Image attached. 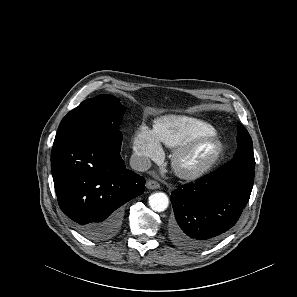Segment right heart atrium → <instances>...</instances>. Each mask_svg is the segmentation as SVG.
I'll return each instance as SVG.
<instances>
[{"label":"right heart atrium","mask_w":297,"mask_h":297,"mask_svg":"<svg viewBox=\"0 0 297 297\" xmlns=\"http://www.w3.org/2000/svg\"><path fill=\"white\" fill-rule=\"evenodd\" d=\"M135 155L142 166H148L152 160H158L162 156V148L155 133L142 126L133 142Z\"/></svg>","instance_id":"right-heart-atrium-1"}]
</instances>
